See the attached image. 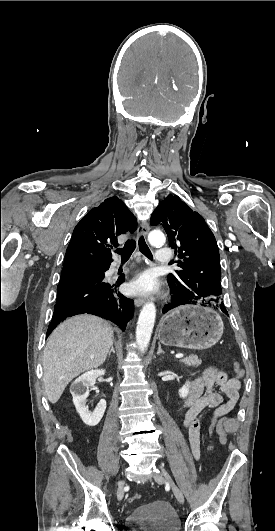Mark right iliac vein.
I'll use <instances>...</instances> for the list:
<instances>
[{
    "label": "right iliac vein",
    "mask_w": 275,
    "mask_h": 531,
    "mask_svg": "<svg viewBox=\"0 0 275 531\" xmlns=\"http://www.w3.org/2000/svg\"><path fill=\"white\" fill-rule=\"evenodd\" d=\"M126 484V481L125 480H122L119 485H118V489H117V495L118 496H122L123 495V487L124 485Z\"/></svg>",
    "instance_id": "right-iliac-vein-1"
}]
</instances>
